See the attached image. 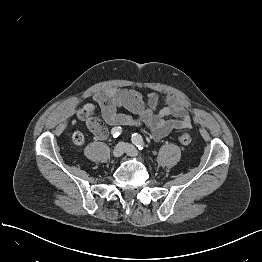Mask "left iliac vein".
<instances>
[{"mask_svg": "<svg viewBox=\"0 0 262 262\" xmlns=\"http://www.w3.org/2000/svg\"><path fill=\"white\" fill-rule=\"evenodd\" d=\"M125 153L131 157H138V151L131 144H125Z\"/></svg>", "mask_w": 262, "mask_h": 262, "instance_id": "1", "label": "left iliac vein"}]
</instances>
